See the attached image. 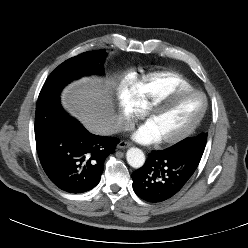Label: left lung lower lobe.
<instances>
[{
  "label": "left lung lower lobe",
  "mask_w": 248,
  "mask_h": 248,
  "mask_svg": "<svg viewBox=\"0 0 248 248\" xmlns=\"http://www.w3.org/2000/svg\"><path fill=\"white\" fill-rule=\"evenodd\" d=\"M202 155V151L172 147L152 151L145 164L132 174L134 192L151 203L174 197L188 183Z\"/></svg>",
  "instance_id": "0a47b994"
}]
</instances>
